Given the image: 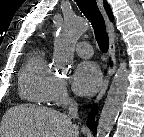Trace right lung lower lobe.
Wrapping results in <instances>:
<instances>
[{
	"label": "right lung lower lobe",
	"instance_id": "98d812e1",
	"mask_svg": "<svg viewBox=\"0 0 144 137\" xmlns=\"http://www.w3.org/2000/svg\"><path fill=\"white\" fill-rule=\"evenodd\" d=\"M110 65H112V62H110ZM96 113H97V108L94 106L87 120V125L93 132H96L97 129V122H95L94 119Z\"/></svg>",
	"mask_w": 144,
	"mask_h": 137
}]
</instances>
